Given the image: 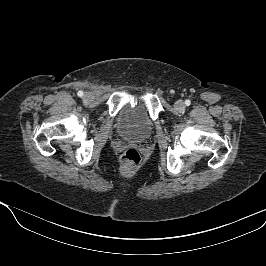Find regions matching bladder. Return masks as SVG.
<instances>
[{
  "label": "bladder",
  "instance_id": "bladder-1",
  "mask_svg": "<svg viewBox=\"0 0 266 266\" xmlns=\"http://www.w3.org/2000/svg\"><path fill=\"white\" fill-rule=\"evenodd\" d=\"M117 127L121 135L134 141H142L150 136L153 122L147 108L141 102L125 105L117 117Z\"/></svg>",
  "mask_w": 266,
  "mask_h": 266
}]
</instances>
